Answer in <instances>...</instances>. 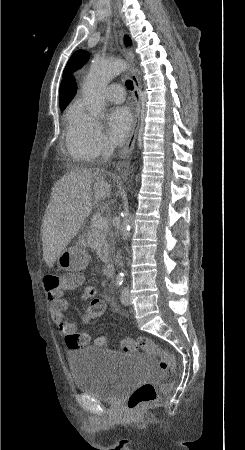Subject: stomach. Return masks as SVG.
<instances>
[{
  "label": "stomach",
  "mask_w": 245,
  "mask_h": 450,
  "mask_svg": "<svg viewBox=\"0 0 245 450\" xmlns=\"http://www.w3.org/2000/svg\"><path fill=\"white\" fill-rule=\"evenodd\" d=\"M57 265L66 271H80L88 265V255L82 243L67 248L58 258Z\"/></svg>",
  "instance_id": "0dacf381"
}]
</instances>
